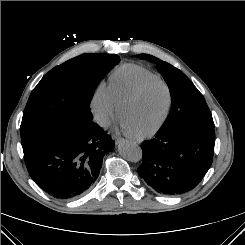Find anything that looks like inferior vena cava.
<instances>
[{
    "mask_svg": "<svg viewBox=\"0 0 245 245\" xmlns=\"http://www.w3.org/2000/svg\"><path fill=\"white\" fill-rule=\"evenodd\" d=\"M97 122L101 125V126H106L108 124V120L106 118H98Z\"/></svg>",
    "mask_w": 245,
    "mask_h": 245,
    "instance_id": "inferior-vena-cava-1",
    "label": "inferior vena cava"
}]
</instances>
